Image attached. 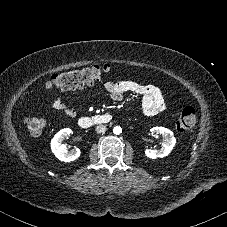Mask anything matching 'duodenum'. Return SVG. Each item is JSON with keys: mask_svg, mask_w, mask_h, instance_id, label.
Masks as SVG:
<instances>
[{"mask_svg": "<svg viewBox=\"0 0 227 227\" xmlns=\"http://www.w3.org/2000/svg\"><path fill=\"white\" fill-rule=\"evenodd\" d=\"M110 114L95 115L92 117H82L79 119L78 124L81 128L88 129L96 125L105 124L111 121Z\"/></svg>", "mask_w": 227, "mask_h": 227, "instance_id": "1", "label": "duodenum"}]
</instances>
